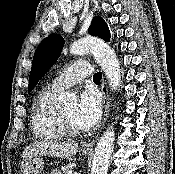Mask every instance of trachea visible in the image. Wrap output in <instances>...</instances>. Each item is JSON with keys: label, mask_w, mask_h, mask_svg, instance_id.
<instances>
[{"label": "trachea", "mask_w": 175, "mask_h": 174, "mask_svg": "<svg viewBox=\"0 0 175 174\" xmlns=\"http://www.w3.org/2000/svg\"><path fill=\"white\" fill-rule=\"evenodd\" d=\"M101 78H102L101 72H97V73H95L94 76H93V80H94V81H100Z\"/></svg>", "instance_id": "3493384b"}]
</instances>
